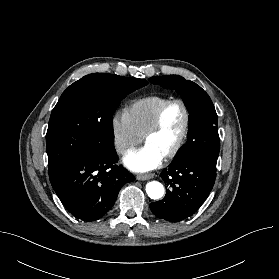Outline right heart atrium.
<instances>
[{"label": "right heart atrium", "mask_w": 279, "mask_h": 279, "mask_svg": "<svg viewBox=\"0 0 279 279\" xmlns=\"http://www.w3.org/2000/svg\"><path fill=\"white\" fill-rule=\"evenodd\" d=\"M111 128L115 148L121 155L130 152L142 139L125 111H118L113 115Z\"/></svg>", "instance_id": "obj_1"}]
</instances>
